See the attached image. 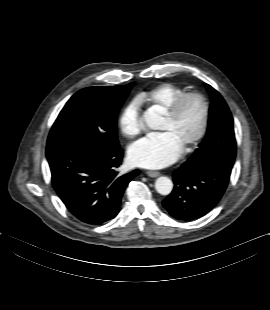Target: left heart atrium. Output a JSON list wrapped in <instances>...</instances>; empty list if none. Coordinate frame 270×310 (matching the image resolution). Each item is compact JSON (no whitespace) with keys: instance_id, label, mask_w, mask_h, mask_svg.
<instances>
[{"instance_id":"39dd6f15","label":"left heart atrium","mask_w":270,"mask_h":310,"mask_svg":"<svg viewBox=\"0 0 270 310\" xmlns=\"http://www.w3.org/2000/svg\"><path fill=\"white\" fill-rule=\"evenodd\" d=\"M182 153L181 146L168 133L148 135L129 148V162L145 169H159L175 162Z\"/></svg>"}]
</instances>
